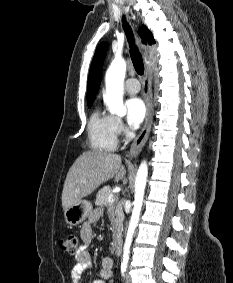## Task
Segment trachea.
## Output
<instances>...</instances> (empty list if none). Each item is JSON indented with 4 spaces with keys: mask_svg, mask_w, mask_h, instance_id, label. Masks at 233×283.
<instances>
[{
    "mask_svg": "<svg viewBox=\"0 0 233 283\" xmlns=\"http://www.w3.org/2000/svg\"><path fill=\"white\" fill-rule=\"evenodd\" d=\"M123 28H124V31L126 33V36L129 42L130 54H131V59H132L134 68L139 75H143L144 74V64H143L142 56H141V53L138 51L137 46L135 45L132 30L130 26L128 25V23L125 21V19H123Z\"/></svg>",
    "mask_w": 233,
    "mask_h": 283,
    "instance_id": "3493384b",
    "label": "trachea"
}]
</instances>
